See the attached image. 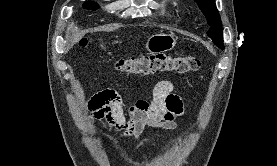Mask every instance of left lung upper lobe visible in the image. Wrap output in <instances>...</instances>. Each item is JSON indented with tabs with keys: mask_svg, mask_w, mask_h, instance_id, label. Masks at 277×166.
I'll list each match as a JSON object with an SVG mask.
<instances>
[{
	"mask_svg": "<svg viewBox=\"0 0 277 166\" xmlns=\"http://www.w3.org/2000/svg\"><path fill=\"white\" fill-rule=\"evenodd\" d=\"M203 14L205 15L208 24L211 26L207 32L213 42L221 49H224L223 45V29L221 28V19L219 12L216 8L214 0H194Z\"/></svg>",
	"mask_w": 277,
	"mask_h": 166,
	"instance_id": "1",
	"label": "left lung upper lobe"
}]
</instances>
